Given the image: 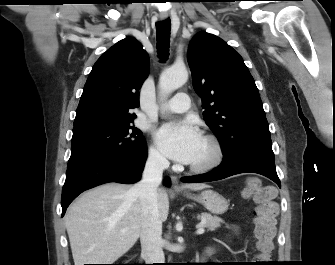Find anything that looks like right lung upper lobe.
Segmentation results:
<instances>
[{
	"label": "right lung upper lobe",
	"mask_w": 335,
	"mask_h": 265,
	"mask_svg": "<svg viewBox=\"0 0 335 265\" xmlns=\"http://www.w3.org/2000/svg\"><path fill=\"white\" fill-rule=\"evenodd\" d=\"M149 60L142 45L125 38L94 64L76 110L74 127L133 120L139 90L148 76Z\"/></svg>",
	"instance_id": "1"
}]
</instances>
